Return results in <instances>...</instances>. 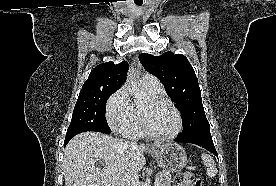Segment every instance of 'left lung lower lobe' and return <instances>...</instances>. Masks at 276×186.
<instances>
[{"mask_svg": "<svg viewBox=\"0 0 276 186\" xmlns=\"http://www.w3.org/2000/svg\"><path fill=\"white\" fill-rule=\"evenodd\" d=\"M175 141L192 143L198 146H202L203 148L207 149L215 156H217V151L213 144L210 129L198 130L185 136H178Z\"/></svg>", "mask_w": 276, "mask_h": 186, "instance_id": "0a47b994", "label": "left lung lower lobe"}]
</instances>
